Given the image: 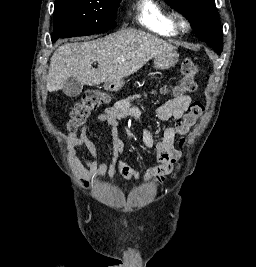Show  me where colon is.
<instances>
[{"instance_id":"5ec220e1","label":"colon","mask_w":256,"mask_h":267,"mask_svg":"<svg viewBox=\"0 0 256 267\" xmlns=\"http://www.w3.org/2000/svg\"><path fill=\"white\" fill-rule=\"evenodd\" d=\"M198 73L197 63L191 58H185L180 63V81L171 90L166 88L174 97L180 98L183 94L193 92L197 88L195 77ZM109 95L99 89H92L86 93L84 98L74 105L70 112V118L66 122L67 133L75 134L81 129L89 116L109 102ZM205 110L201 100L190 103L187 113L177 119L175 130L180 138L179 146L182 148L186 142V135L201 118Z\"/></svg>"}]
</instances>
